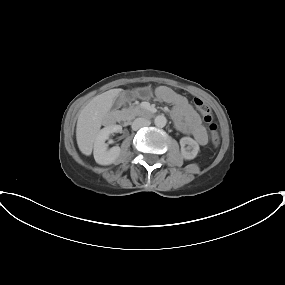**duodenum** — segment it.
Returning <instances> with one entry per match:
<instances>
[{
	"instance_id": "1",
	"label": "duodenum",
	"mask_w": 285,
	"mask_h": 285,
	"mask_svg": "<svg viewBox=\"0 0 285 285\" xmlns=\"http://www.w3.org/2000/svg\"><path fill=\"white\" fill-rule=\"evenodd\" d=\"M138 114L143 116V117H151L155 114L156 110L154 108L151 107H142L138 109ZM119 120H121V118H119Z\"/></svg>"
}]
</instances>
